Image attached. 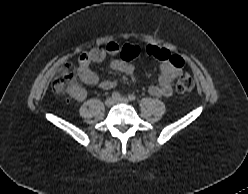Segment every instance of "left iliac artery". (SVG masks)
Segmentation results:
<instances>
[{
    "label": "left iliac artery",
    "instance_id": "obj_1",
    "mask_svg": "<svg viewBox=\"0 0 248 194\" xmlns=\"http://www.w3.org/2000/svg\"><path fill=\"white\" fill-rule=\"evenodd\" d=\"M128 98L130 101H134L136 99V96L134 94H130Z\"/></svg>",
    "mask_w": 248,
    "mask_h": 194
}]
</instances>
